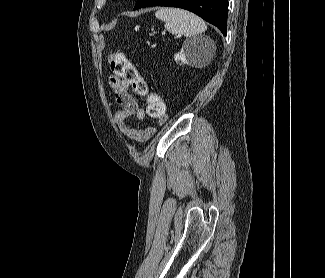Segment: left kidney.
<instances>
[{"label": "left kidney", "instance_id": "left-kidney-1", "mask_svg": "<svg viewBox=\"0 0 325 278\" xmlns=\"http://www.w3.org/2000/svg\"><path fill=\"white\" fill-rule=\"evenodd\" d=\"M174 59L179 65H191L194 61V53L192 52L189 44H185L181 51L175 54Z\"/></svg>", "mask_w": 325, "mask_h": 278}]
</instances>
